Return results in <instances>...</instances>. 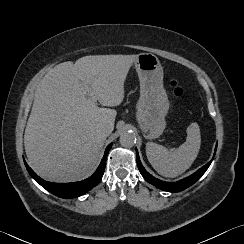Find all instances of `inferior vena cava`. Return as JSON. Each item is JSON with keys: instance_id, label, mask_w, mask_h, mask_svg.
I'll return each mask as SVG.
<instances>
[{"instance_id": "1", "label": "inferior vena cava", "mask_w": 244, "mask_h": 244, "mask_svg": "<svg viewBox=\"0 0 244 244\" xmlns=\"http://www.w3.org/2000/svg\"><path fill=\"white\" fill-rule=\"evenodd\" d=\"M99 131H100V133H101L102 135H104V136H108V135L111 134L112 129H111V127H109L107 124H101V125L99 126Z\"/></svg>"}]
</instances>
